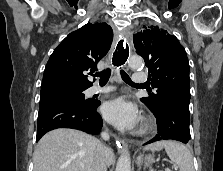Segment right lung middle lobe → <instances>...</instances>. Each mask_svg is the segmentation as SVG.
Instances as JSON below:
<instances>
[{
    "instance_id": "right-lung-middle-lobe-1",
    "label": "right lung middle lobe",
    "mask_w": 223,
    "mask_h": 171,
    "mask_svg": "<svg viewBox=\"0 0 223 171\" xmlns=\"http://www.w3.org/2000/svg\"><path fill=\"white\" fill-rule=\"evenodd\" d=\"M56 101H74L81 104H91L92 99H85L83 91H74V92H64L48 96L45 98H40L39 107L43 106L46 103L56 102Z\"/></svg>"
}]
</instances>
